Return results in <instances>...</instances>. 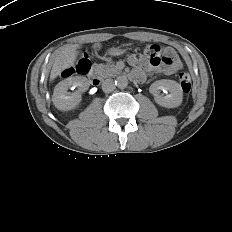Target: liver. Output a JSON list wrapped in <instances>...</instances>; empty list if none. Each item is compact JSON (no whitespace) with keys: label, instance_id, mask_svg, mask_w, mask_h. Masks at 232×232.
<instances>
[{"label":"liver","instance_id":"1","mask_svg":"<svg viewBox=\"0 0 232 232\" xmlns=\"http://www.w3.org/2000/svg\"><path fill=\"white\" fill-rule=\"evenodd\" d=\"M78 48H80L79 45H66L62 48L55 58L50 73V81H53L62 73V71L74 65V62L79 55Z\"/></svg>","mask_w":232,"mask_h":232}]
</instances>
